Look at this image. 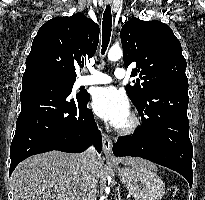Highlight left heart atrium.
Listing matches in <instances>:
<instances>
[{
    "instance_id": "left-heart-atrium-1",
    "label": "left heart atrium",
    "mask_w": 205,
    "mask_h": 200,
    "mask_svg": "<svg viewBox=\"0 0 205 200\" xmlns=\"http://www.w3.org/2000/svg\"><path fill=\"white\" fill-rule=\"evenodd\" d=\"M91 106L97 116L117 128L129 118V103L124 94L114 87L96 89Z\"/></svg>"
}]
</instances>
